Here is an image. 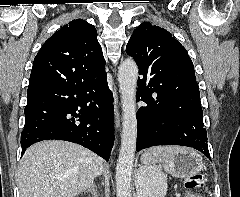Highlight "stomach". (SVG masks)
<instances>
[{
	"label": "stomach",
	"instance_id": "obj_1",
	"mask_svg": "<svg viewBox=\"0 0 240 197\" xmlns=\"http://www.w3.org/2000/svg\"><path fill=\"white\" fill-rule=\"evenodd\" d=\"M156 163L162 164L167 172L177 178L191 177L203 169L202 158L197 152L188 148H180L179 151L170 154L169 160H160L154 153L146 151L141 156L139 173L143 171L144 168L154 166ZM139 173L137 177V188L141 194L144 188V178Z\"/></svg>",
	"mask_w": 240,
	"mask_h": 197
}]
</instances>
